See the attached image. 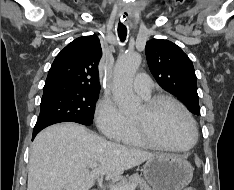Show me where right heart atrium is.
Listing matches in <instances>:
<instances>
[{
    "instance_id": "right-heart-atrium-1",
    "label": "right heart atrium",
    "mask_w": 234,
    "mask_h": 190,
    "mask_svg": "<svg viewBox=\"0 0 234 190\" xmlns=\"http://www.w3.org/2000/svg\"><path fill=\"white\" fill-rule=\"evenodd\" d=\"M95 119L101 133L109 139L119 140L128 127L129 119L110 97H102L95 110Z\"/></svg>"
}]
</instances>
